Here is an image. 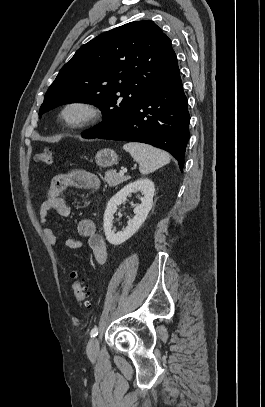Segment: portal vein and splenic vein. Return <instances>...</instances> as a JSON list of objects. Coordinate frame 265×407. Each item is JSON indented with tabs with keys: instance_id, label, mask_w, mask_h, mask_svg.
<instances>
[{
	"instance_id": "1",
	"label": "portal vein and splenic vein",
	"mask_w": 265,
	"mask_h": 407,
	"mask_svg": "<svg viewBox=\"0 0 265 407\" xmlns=\"http://www.w3.org/2000/svg\"><path fill=\"white\" fill-rule=\"evenodd\" d=\"M125 172H126L125 170H120V171H119V174H120L121 176H123Z\"/></svg>"
}]
</instances>
